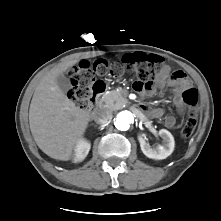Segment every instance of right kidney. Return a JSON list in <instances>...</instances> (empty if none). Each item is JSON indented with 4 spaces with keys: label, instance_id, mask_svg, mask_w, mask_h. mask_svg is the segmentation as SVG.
<instances>
[{
    "label": "right kidney",
    "instance_id": "obj_1",
    "mask_svg": "<svg viewBox=\"0 0 221 221\" xmlns=\"http://www.w3.org/2000/svg\"><path fill=\"white\" fill-rule=\"evenodd\" d=\"M90 143L86 140H80L75 149L74 161L79 162L85 159L90 150Z\"/></svg>",
    "mask_w": 221,
    "mask_h": 221
}]
</instances>
